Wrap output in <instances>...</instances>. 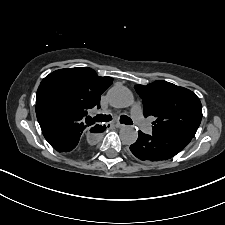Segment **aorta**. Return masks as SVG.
Returning <instances> with one entry per match:
<instances>
[{
    "mask_svg": "<svg viewBox=\"0 0 225 225\" xmlns=\"http://www.w3.org/2000/svg\"><path fill=\"white\" fill-rule=\"evenodd\" d=\"M110 104L116 108H127L134 103L132 92L125 86H114L108 92ZM120 138L123 144L131 145L138 138V130L134 126L126 125L120 130Z\"/></svg>",
    "mask_w": 225,
    "mask_h": 225,
    "instance_id": "aorta-1",
    "label": "aorta"
}]
</instances>
